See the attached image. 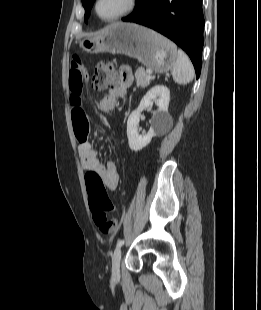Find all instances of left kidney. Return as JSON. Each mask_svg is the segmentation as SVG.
Segmentation results:
<instances>
[{
  "label": "left kidney",
  "instance_id": "obj_1",
  "mask_svg": "<svg viewBox=\"0 0 261 310\" xmlns=\"http://www.w3.org/2000/svg\"><path fill=\"white\" fill-rule=\"evenodd\" d=\"M169 101L170 91L164 85H155L142 98L138 108L130 114L127 121V136L131 150L139 151L143 149L154 136L165 132L170 127L172 118L168 113ZM153 102L158 106L157 113L153 118L149 132L141 135L138 132L140 114Z\"/></svg>",
  "mask_w": 261,
  "mask_h": 310
}]
</instances>
